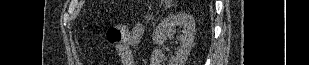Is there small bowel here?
Here are the masks:
<instances>
[{
	"label": "small bowel",
	"mask_w": 309,
	"mask_h": 65,
	"mask_svg": "<svg viewBox=\"0 0 309 65\" xmlns=\"http://www.w3.org/2000/svg\"><path fill=\"white\" fill-rule=\"evenodd\" d=\"M143 33V26L137 24L131 30L127 31L124 39L116 45L115 51L122 65H135L133 48L140 43Z\"/></svg>",
	"instance_id": "c3829d8e"
}]
</instances>
